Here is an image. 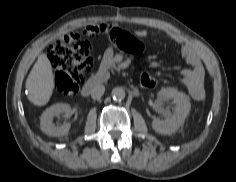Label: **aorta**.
Returning <instances> with one entry per match:
<instances>
[{
    "label": "aorta",
    "mask_w": 236,
    "mask_h": 182,
    "mask_svg": "<svg viewBox=\"0 0 236 182\" xmlns=\"http://www.w3.org/2000/svg\"><path fill=\"white\" fill-rule=\"evenodd\" d=\"M112 97L114 100L116 101H121L125 98V91L123 88L121 87H115L112 90Z\"/></svg>",
    "instance_id": "aorta-1"
}]
</instances>
